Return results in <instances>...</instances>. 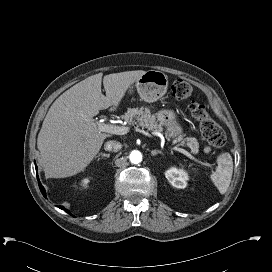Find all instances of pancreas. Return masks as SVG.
I'll return each instance as SVG.
<instances>
[{"instance_id":"1","label":"pancreas","mask_w":272,"mask_h":272,"mask_svg":"<svg viewBox=\"0 0 272 272\" xmlns=\"http://www.w3.org/2000/svg\"><path fill=\"white\" fill-rule=\"evenodd\" d=\"M123 119L129 125H139L143 128H147L148 130L161 132L162 128L161 125L157 123L156 116L151 114V110L147 107L141 108H129ZM181 140V137L178 138L176 141ZM189 145L192 146L193 152L197 153L199 149V143L196 138L194 137H187L184 139Z\"/></svg>"}]
</instances>
